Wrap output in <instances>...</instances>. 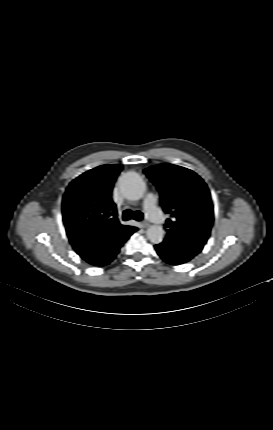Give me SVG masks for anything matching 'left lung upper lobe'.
I'll return each mask as SVG.
<instances>
[{"label":"left lung upper lobe","instance_id":"left-lung-upper-lobe-1","mask_svg":"<svg viewBox=\"0 0 273 430\" xmlns=\"http://www.w3.org/2000/svg\"><path fill=\"white\" fill-rule=\"evenodd\" d=\"M160 192L171 247L192 259L206 244L213 224V204L204 181L190 169L160 164L144 170Z\"/></svg>","mask_w":273,"mask_h":430}]
</instances>
